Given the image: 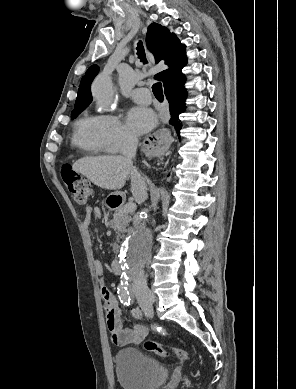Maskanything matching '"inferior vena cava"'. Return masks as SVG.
Here are the masks:
<instances>
[{
  "label": "inferior vena cava",
  "instance_id": "1",
  "mask_svg": "<svg viewBox=\"0 0 296 389\" xmlns=\"http://www.w3.org/2000/svg\"><path fill=\"white\" fill-rule=\"evenodd\" d=\"M138 145V138L135 134L128 133L125 136V140L122 146L123 156L132 163V159L136 155ZM133 174H137V170L133 167ZM133 292L139 303H143L146 300H153L154 296L147 286V281L144 276V272L140 271L136 279L133 282Z\"/></svg>",
  "mask_w": 296,
  "mask_h": 389
}]
</instances>
